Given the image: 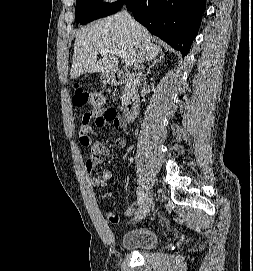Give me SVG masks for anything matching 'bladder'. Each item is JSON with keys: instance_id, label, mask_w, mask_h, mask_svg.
Here are the masks:
<instances>
[{"instance_id": "1", "label": "bladder", "mask_w": 253, "mask_h": 271, "mask_svg": "<svg viewBox=\"0 0 253 271\" xmlns=\"http://www.w3.org/2000/svg\"><path fill=\"white\" fill-rule=\"evenodd\" d=\"M162 242L160 232L154 228L138 227L126 233L122 239V247L132 251H150Z\"/></svg>"}]
</instances>
